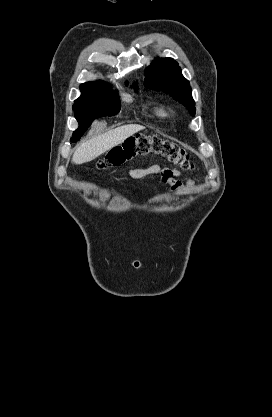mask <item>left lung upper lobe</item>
<instances>
[{"mask_svg":"<svg viewBox=\"0 0 272 417\" xmlns=\"http://www.w3.org/2000/svg\"><path fill=\"white\" fill-rule=\"evenodd\" d=\"M145 87L162 90L183 103L191 115H195L192 90L178 63L172 58H156L145 71Z\"/></svg>","mask_w":272,"mask_h":417,"instance_id":"5c2ea615","label":"left lung upper lobe"}]
</instances>
